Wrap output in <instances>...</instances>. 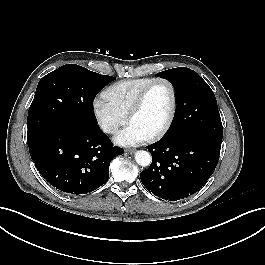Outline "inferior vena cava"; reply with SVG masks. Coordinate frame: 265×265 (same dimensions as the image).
<instances>
[{
	"instance_id": "obj_1",
	"label": "inferior vena cava",
	"mask_w": 265,
	"mask_h": 265,
	"mask_svg": "<svg viewBox=\"0 0 265 265\" xmlns=\"http://www.w3.org/2000/svg\"><path fill=\"white\" fill-rule=\"evenodd\" d=\"M105 131L108 132V133H114L116 131V127H113V126L108 127V128H106Z\"/></svg>"
}]
</instances>
